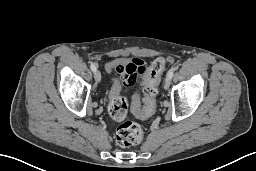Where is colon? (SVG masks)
Returning a JSON list of instances; mask_svg holds the SVG:
<instances>
[{"instance_id": "colon-1", "label": "colon", "mask_w": 256, "mask_h": 171, "mask_svg": "<svg viewBox=\"0 0 256 171\" xmlns=\"http://www.w3.org/2000/svg\"><path fill=\"white\" fill-rule=\"evenodd\" d=\"M166 64L164 59L158 58L151 64L149 70L144 75L143 79V100L147 108V112H151L155 106L157 95V85L160 81L162 73L165 71ZM133 109L141 114L139 97L135 96ZM108 112L110 116L118 122H121L117 127L115 138L118 145L129 147L138 144L143 137L141 126L135 122L124 121L128 112V101L121 96L116 89L110 95Z\"/></svg>"}]
</instances>
